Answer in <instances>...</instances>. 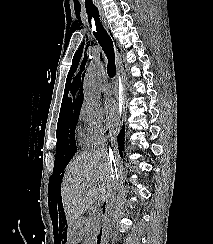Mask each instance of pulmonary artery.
<instances>
[{
	"instance_id": "1",
	"label": "pulmonary artery",
	"mask_w": 213,
	"mask_h": 244,
	"mask_svg": "<svg viewBox=\"0 0 213 244\" xmlns=\"http://www.w3.org/2000/svg\"><path fill=\"white\" fill-rule=\"evenodd\" d=\"M102 90L105 95H112L115 92L111 83H105L102 87Z\"/></svg>"
}]
</instances>
